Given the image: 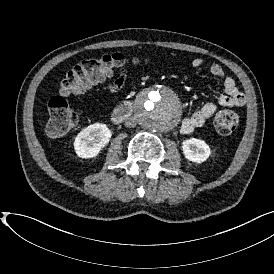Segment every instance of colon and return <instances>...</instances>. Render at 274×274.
Listing matches in <instances>:
<instances>
[{"instance_id":"colon-1","label":"colon","mask_w":274,"mask_h":274,"mask_svg":"<svg viewBox=\"0 0 274 274\" xmlns=\"http://www.w3.org/2000/svg\"><path fill=\"white\" fill-rule=\"evenodd\" d=\"M137 62V59L122 53H109L88 58L73 66L62 78L59 93L48 100L50 118L46 128L47 135L58 138L75 127L78 114L68 104L67 97L81 95L105 80L125 74L123 67ZM238 123V114L227 109L219 110L213 117V127L219 135L232 134Z\"/></svg>"}]
</instances>
